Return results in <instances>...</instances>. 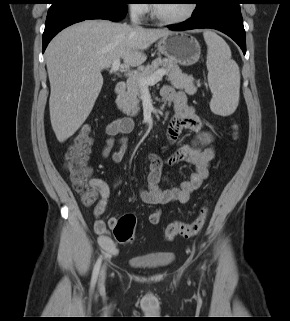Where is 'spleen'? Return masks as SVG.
<instances>
[{
    "label": "spleen",
    "mask_w": 290,
    "mask_h": 321,
    "mask_svg": "<svg viewBox=\"0 0 290 321\" xmlns=\"http://www.w3.org/2000/svg\"><path fill=\"white\" fill-rule=\"evenodd\" d=\"M203 35L207 44L208 83L213 94L210 108L217 115L228 116L239 102V67L231 59V50L223 38L210 30Z\"/></svg>",
    "instance_id": "spleen-1"
}]
</instances>
